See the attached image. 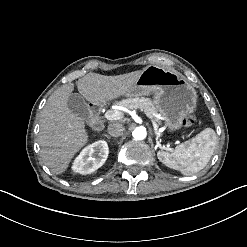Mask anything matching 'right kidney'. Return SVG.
Returning <instances> with one entry per match:
<instances>
[{"instance_id": "1", "label": "right kidney", "mask_w": 247, "mask_h": 247, "mask_svg": "<svg viewBox=\"0 0 247 247\" xmlns=\"http://www.w3.org/2000/svg\"><path fill=\"white\" fill-rule=\"evenodd\" d=\"M108 144L104 140L96 141L85 147L73 162L72 170L82 175L90 174L100 168L107 160Z\"/></svg>"}]
</instances>
